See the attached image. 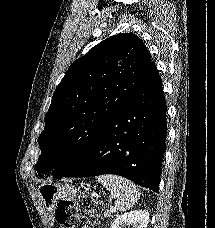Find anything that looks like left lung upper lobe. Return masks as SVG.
Listing matches in <instances>:
<instances>
[{"mask_svg":"<svg viewBox=\"0 0 215 228\" xmlns=\"http://www.w3.org/2000/svg\"><path fill=\"white\" fill-rule=\"evenodd\" d=\"M151 66L146 46L131 33L111 36L73 62L45 115L38 174L55 167L57 178L71 170Z\"/></svg>","mask_w":215,"mask_h":228,"instance_id":"left-lung-upper-lobe-1","label":"left lung upper lobe"}]
</instances>
